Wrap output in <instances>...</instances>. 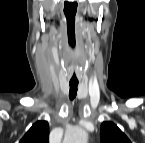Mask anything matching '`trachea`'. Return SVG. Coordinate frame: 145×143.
Wrapping results in <instances>:
<instances>
[{
	"label": "trachea",
	"mask_w": 145,
	"mask_h": 143,
	"mask_svg": "<svg viewBox=\"0 0 145 143\" xmlns=\"http://www.w3.org/2000/svg\"><path fill=\"white\" fill-rule=\"evenodd\" d=\"M70 90H69V98L73 100L77 95L78 90V82H70L69 83Z\"/></svg>",
	"instance_id": "1"
}]
</instances>
